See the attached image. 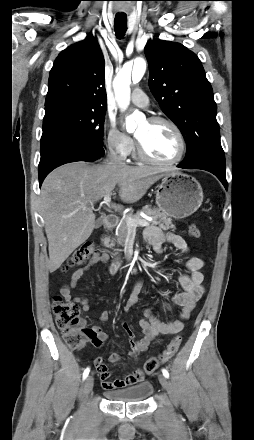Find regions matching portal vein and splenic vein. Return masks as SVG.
<instances>
[{
    "label": "portal vein and splenic vein",
    "mask_w": 254,
    "mask_h": 440,
    "mask_svg": "<svg viewBox=\"0 0 254 440\" xmlns=\"http://www.w3.org/2000/svg\"><path fill=\"white\" fill-rule=\"evenodd\" d=\"M103 203H105L106 205H111V207H113L115 210L119 209V206H116L115 204L111 203V194L108 193L104 196V201ZM127 225L130 227H137V226H148L149 223L148 221H146L145 219H135L132 218L128 215H124L123 216Z\"/></svg>",
    "instance_id": "portal-vein-and-splenic-vein-1"
}]
</instances>
